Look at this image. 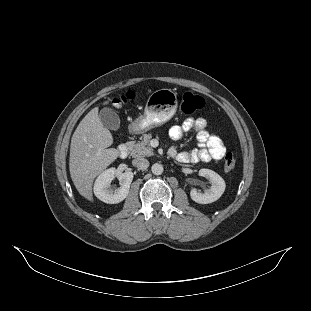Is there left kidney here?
Returning <instances> with one entry per match:
<instances>
[{
  "instance_id": "1",
  "label": "left kidney",
  "mask_w": 311,
  "mask_h": 311,
  "mask_svg": "<svg viewBox=\"0 0 311 311\" xmlns=\"http://www.w3.org/2000/svg\"><path fill=\"white\" fill-rule=\"evenodd\" d=\"M200 175L210 180L211 186L205 193L199 192L195 187H190L191 198L198 203L207 204L219 199L226 189L225 180L210 169H200Z\"/></svg>"
}]
</instances>
